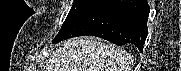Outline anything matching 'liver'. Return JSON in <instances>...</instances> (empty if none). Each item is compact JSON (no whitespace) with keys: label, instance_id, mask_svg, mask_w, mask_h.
Segmentation results:
<instances>
[{"label":"liver","instance_id":"obj_1","mask_svg":"<svg viewBox=\"0 0 181 71\" xmlns=\"http://www.w3.org/2000/svg\"><path fill=\"white\" fill-rule=\"evenodd\" d=\"M131 55L94 37L62 42L51 54L46 71H131Z\"/></svg>","mask_w":181,"mask_h":71}]
</instances>
